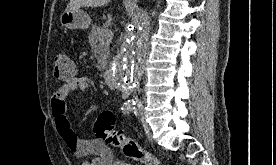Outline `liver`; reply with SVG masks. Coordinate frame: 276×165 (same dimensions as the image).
Returning <instances> with one entry per match:
<instances>
[{
  "instance_id": "1",
  "label": "liver",
  "mask_w": 276,
  "mask_h": 165,
  "mask_svg": "<svg viewBox=\"0 0 276 165\" xmlns=\"http://www.w3.org/2000/svg\"><path fill=\"white\" fill-rule=\"evenodd\" d=\"M109 2L110 0H70L65 11H75L81 7H103Z\"/></svg>"
}]
</instances>
